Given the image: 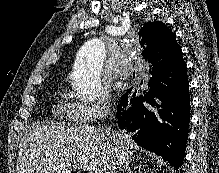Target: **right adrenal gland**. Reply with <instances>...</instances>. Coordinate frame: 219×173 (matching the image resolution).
Segmentation results:
<instances>
[{"mask_svg":"<svg viewBox=\"0 0 219 173\" xmlns=\"http://www.w3.org/2000/svg\"><path fill=\"white\" fill-rule=\"evenodd\" d=\"M120 170L122 171V173H133L132 169L129 166V163L125 166H122Z\"/></svg>","mask_w":219,"mask_h":173,"instance_id":"right-adrenal-gland-1","label":"right adrenal gland"}]
</instances>
